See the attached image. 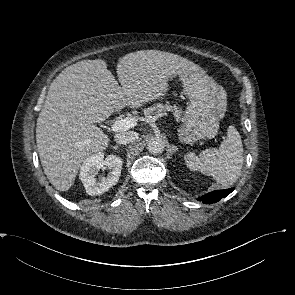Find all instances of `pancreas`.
I'll return each instance as SVG.
<instances>
[{"instance_id":"pancreas-1","label":"pancreas","mask_w":295,"mask_h":295,"mask_svg":"<svg viewBox=\"0 0 295 295\" xmlns=\"http://www.w3.org/2000/svg\"><path fill=\"white\" fill-rule=\"evenodd\" d=\"M173 111L174 115L176 117L181 116V110L178 109L176 106H171L169 103L166 104H156L155 106H152L150 108H147L144 110L145 117L152 115V114H159L161 112H168Z\"/></svg>"}]
</instances>
